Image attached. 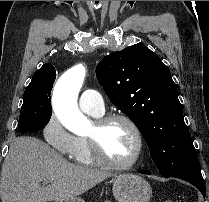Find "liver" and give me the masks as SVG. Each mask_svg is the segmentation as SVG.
I'll use <instances>...</instances> for the list:
<instances>
[{
    "label": "liver",
    "instance_id": "obj_1",
    "mask_svg": "<svg viewBox=\"0 0 209 202\" xmlns=\"http://www.w3.org/2000/svg\"><path fill=\"white\" fill-rule=\"evenodd\" d=\"M111 173L74 165L43 141L17 137L10 145L0 178L2 202H47L79 196ZM44 178L52 183L41 186Z\"/></svg>",
    "mask_w": 209,
    "mask_h": 202
}]
</instances>
